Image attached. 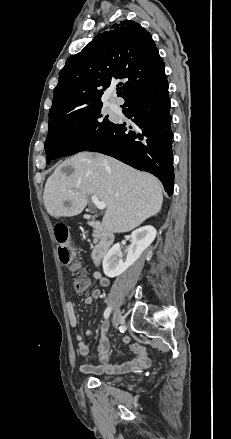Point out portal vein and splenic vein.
Masks as SVG:
<instances>
[{"label":"portal vein and splenic vein","instance_id":"portal-vein-and-splenic-vein-1","mask_svg":"<svg viewBox=\"0 0 231 439\" xmlns=\"http://www.w3.org/2000/svg\"><path fill=\"white\" fill-rule=\"evenodd\" d=\"M91 200L95 204L97 209L104 210L106 208L105 202L100 201L96 196H92Z\"/></svg>","mask_w":231,"mask_h":439}]
</instances>
